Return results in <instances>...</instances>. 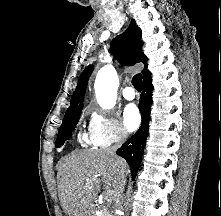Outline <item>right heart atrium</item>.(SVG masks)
<instances>
[{
	"instance_id": "d8ad5b80",
	"label": "right heart atrium",
	"mask_w": 221,
	"mask_h": 216,
	"mask_svg": "<svg viewBox=\"0 0 221 216\" xmlns=\"http://www.w3.org/2000/svg\"><path fill=\"white\" fill-rule=\"evenodd\" d=\"M89 137L94 146L105 148L124 142L128 131L113 114L91 110Z\"/></svg>"
}]
</instances>
